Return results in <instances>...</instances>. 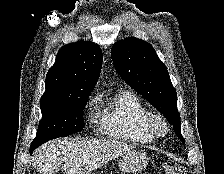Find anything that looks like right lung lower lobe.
Wrapping results in <instances>:
<instances>
[{
	"instance_id": "obj_1",
	"label": "right lung lower lobe",
	"mask_w": 224,
	"mask_h": 174,
	"mask_svg": "<svg viewBox=\"0 0 224 174\" xmlns=\"http://www.w3.org/2000/svg\"><path fill=\"white\" fill-rule=\"evenodd\" d=\"M34 149H36V147H31L30 148V153L32 154V152L34 151Z\"/></svg>"
}]
</instances>
